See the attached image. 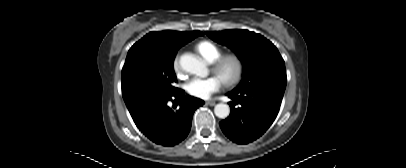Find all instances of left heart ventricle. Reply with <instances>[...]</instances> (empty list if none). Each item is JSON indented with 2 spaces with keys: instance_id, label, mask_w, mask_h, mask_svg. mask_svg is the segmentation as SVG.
Listing matches in <instances>:
<instances>
[{
  "instance_id": "obj_1",
  "label": "left heart ventricle",
  "mask_w": 406,
  "mask_h": 168,
  "mask_svg": "<svg viewBox=\"0 0 406 168\" xmlns=\"http://www.w3.org/2000/svg\"><path fill=\"white\" fill-rule=\"evenodd\" d=\"M232 73H233V67L231 65H229L224 69L220 78L229 77V76H231Z\"/></svg>"
}]
</instances>
